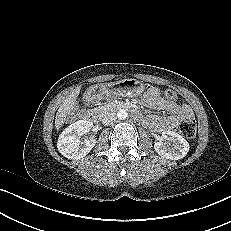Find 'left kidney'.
Returning a JSON list of instances; mask_svg holds the SVG:
<instances>
[{
	"mask_svg": "<svg viewBox=\"0 0 231 231\" xmlns=\"http://www.w3.org/2000/svg\"><path fill=\"white\" fill-rule=\"evenodd\" d=\"M189 143L180 134L166 130L162 132L159 141L155 142V151L163 158L179 160L185 157L189 151Z\"/></svg>",
	"mask_w": 231,
	"mask_h": 231,
	"instance_id": "1",
	"label": "left kidney"
}]
</instances>
